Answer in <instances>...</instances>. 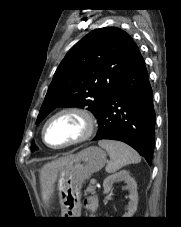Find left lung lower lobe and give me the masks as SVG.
Wrapping results in <instances>:
<instances>
[{"label":"left lung lower lobe","instance_id":"left-lung-lower-lobe-1","mask_svg":"<svg viewBox=\"0 0 181 227\" xmlns=\"http://www.w3.org/2000/svg\"><path fill=\"white\" fill-rule=\"evenodd\" d=\"M155 123L152 88L143 57L138 52L108 100L93 140L125 142L151 164Z\"/></svg>","mask_w":181,"mask_h":227}]
</instances>
